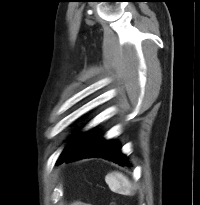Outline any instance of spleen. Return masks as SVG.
<instances>
[{
  "instance_id": "obj_1",
  "label": "spleen",
  "mask_w": 200,
  "mask_h": 205,
  "mask_svg": "<svg viewBox=\"0 0 200 205\" xmlns=\"http://www.w3.org/2000/svg\"><path fill=\"white\" fill-rule=\"evenodd\" d=\"M105 181L111 191L123 195L133 194L132 184L129 179L120 172H111L105 176Z\"/></svg>"
}]
</instances>
